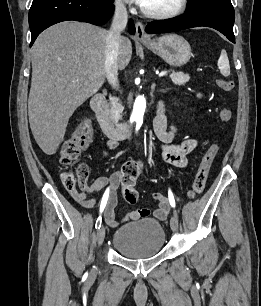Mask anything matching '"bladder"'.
I'll list each match as a JSON object with an SVG mask.
<instances>
[{
    "mask_svg": "<svg viewBox=\"0 0 261 306\" xmlns=\"http://www.w3.org/2000/svg\"><path fill=\"white\" fill-rule=\"evenodd\" d=\"M166 234L163 225L150 218H143L117 228L112 237V247L130 259L150 258L164 247Z\"/></svg>",
    "mask_w": 261,
    "mask_h": 306,
    "instance_id": "bladder-1",
    "label": "bladder"
}]
</instances>
